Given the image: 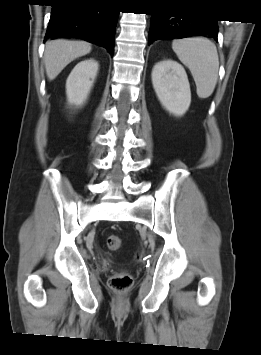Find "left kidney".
Listing matches in <instances>:
<instances>
[{"label":"left kidney","mask_w":261,"mask_h":355,"mask_svg":"<svg viewBox=\"0 0 261 355\" xmlns=\"http://www.w3.org/2000/svg\"><path fill=\"white\" fill-rule=\"evenodd\" d=\"M152 84L161 105L174 116H182L191 103L188 77L183 66L163 60L153 67Z\"/></svg>","instance_id":"5707ae66"}]
</instances>
